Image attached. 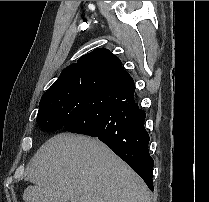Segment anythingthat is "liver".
I'll return each mask as SVG.
<instances>
[{"label": "liver", "mask_w": 209, "mask_h": 202, "mask_svg": "<svg viewBox=\"0 0 209 202\" xmlns=\"http://www.w3.org/2000/svg\"><path fill=\"white\" fill-rule=\"evenodd\" d=\"M25 202H150L140 177L101 141L71 133L48 139L26 169Z\"/></svg>", "instance_id": "obj_1"}]
</instances>
